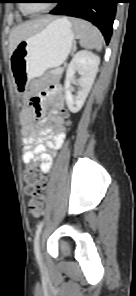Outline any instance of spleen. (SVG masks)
Segmentation results:
<instances>
[{
	"mask_svg": "<svg viewBox=\"0 0 136 296\" xmlns=\"http://www.w3.org/2000/svg\"><path fill=\"white\" fill-rule=\"evenodd\" d=\"M71 23L75 33L80 39V45L82 47L101 51L103 37L96 27L82 19H72Z\"/></svg>",
	"mask_w": 136,
	"mask_h": 296,
	"instance_id": "1",
	"label": "spleen"
}]
</instances>
